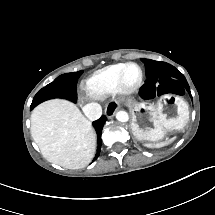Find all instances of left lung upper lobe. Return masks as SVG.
Masks as SVG:
<instances>
[{
  "mask_svg": "<svg viewBox=\"0 0 215 215\" xmlns=\"http://www.w3.org/2000/svg\"><path fill=\"white\" fill-rule=\"evenodd\" d=\"M141 60L145 64L146 77L148 80H152L158 76H170L172 78H176L183 83L184 87L186 88V90L189 92L191 96L190 89L185 77L175 67L165 62H159V61H154L150 59H141Z\"/></svg>",
  "mask_w": 215,
  "mask_h": 215,
  "instance_id": "5c2ea615",
  "label": "left lung upper lobe"
}]
</instances>
